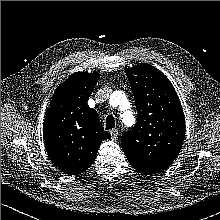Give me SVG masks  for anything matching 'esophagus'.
Returning a JSON list of instances; mask_svg holds the SVG:
<instances>
[{
    "instance_id": "esophagus-1",
    "label": "esophagus",
    "mask_w": 220,
    "mask_h": 220,
    "mask_svg": "<svg viewBox=\"0 0 220 220\" xmlns=\"http://www.w3.org/2000/svg\"><path fill=\"white\" fill-rule=\"evenodd\" d=\"M111 138L113 140H116L118 138V130L117 129H112L110 130Z\"/></svg>"
}]
</instances>
